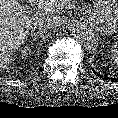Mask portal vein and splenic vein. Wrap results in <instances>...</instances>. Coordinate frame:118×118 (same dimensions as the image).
I'll return each mask as SVG.
<instances>
[{"instance_id":"1","label":"portal vein and splenic vein","mask_w":118,"mask_h":118,"mask_svg":"<svg viewBox=\"0 0 118 118\" xmlns=\"http://www.w3.org/2000/svg\"><path fill=\"white\" fill-rule=\"evenodd\" d=\"M47 5L50 4V3H46ZM38 6L40 9H43V3L42 1L40 0L39 3H38Z\"/></svg>"}]
</instances>
